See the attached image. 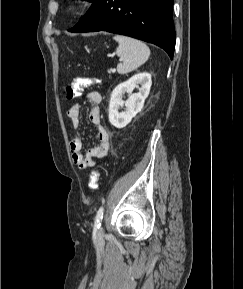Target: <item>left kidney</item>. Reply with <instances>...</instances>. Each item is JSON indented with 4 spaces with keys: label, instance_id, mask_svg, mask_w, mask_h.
<instances>
[{
    "label": "left kidney",
    "instance_id": "obj_1",
    "mask_svg": "<svg viewBox=\"0 0 243 289\" xmlns=\"http://www.w3.org/2000/svg\"><path fill=\"white\" fill-rule=\"evenodd\" d=\"M139 85H141L139 92L132 93ZM151 85V75L139 73L115 87L110 97L109 122L116 128H123L129 124L132 118L142 110ZM124 93L129 95L126 101L122 100ZM123 106L126 107L125 111L119 112L120 107Z\"/></svg>",
    "mask_w": 243,
    "mask_h": 289
}]
</instances>
